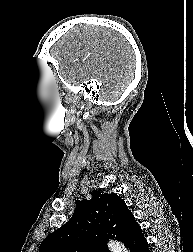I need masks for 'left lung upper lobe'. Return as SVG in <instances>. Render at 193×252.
I'll return each mask as SVG.
<instances>
[{
  "mask_svg": "<svg viewBox=\"0 0 193 252\" xmlns=\"http://www.w3.org/2000/svg\"><path fill=\"white\" fill-rule=\"evenodd\" d=\"M137 226L119 196L94 191L91 200L78 202L72 218L42 241L39 252H109L107 239L127 246Z\"/></svg>",
  "mask_w": 193,
  "mask_h": 252,
  "instance_id": "left-lung-upper-lobe-1",
  "label": "left lung upper lobe"
}]
</instances>
